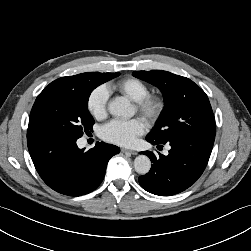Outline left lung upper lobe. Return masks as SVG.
<instances>
[{"mask_svg":"<svg viewBox=\"0 0 251 251\" xmlns=\"http://www.w3.org/2000/svg\"><path fill=\"white\" fill-rule=\"evenodd\" d=\"M133 75L158 87L165 108L146 138L166 143L188 134H215V119L206 93L192 80L167 71H134Z\"/></svg>","mask_w":251,"mask_h":251,"instance_id":"obj_1","label":"left lung upper lobe"}]
</instances>
